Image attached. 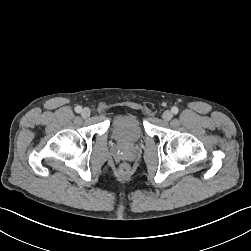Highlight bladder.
<instances>
[{"label": "bladder", "instance_id": "obj_1", "mask_svg": "<svg viewBox=\"0 0 251 251\" xmlns=\"http://www.w3.org/2000/svg\"><path fill=\"white\" fill-rule=\"evenodd\" d=\"M111 132L120 144L131 145L143 136V126L139 117L135 114L122 113L113 120Z\"/></svg>", "mask_w": 251, "mask_h": 251}]
</instances>
